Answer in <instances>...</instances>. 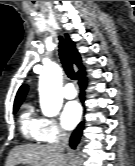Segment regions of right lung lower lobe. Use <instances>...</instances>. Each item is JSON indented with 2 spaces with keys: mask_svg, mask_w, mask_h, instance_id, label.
Masks as SVG:
<instances>
[{
  "mask_svg": "<svg viewBox=\"0 0 135 166\" xmlns=\"http://www.w3.org/2000/svg\"><path fill=\"white\" fill-rule=\"evenodd\" d=\"M77 76H78V80H79L78 84L80 86L79 98H80L81 102L83 103L85 100V89H86V85H87V82H86L87 78L85 76L84 69H81L80 71H78ZM83 128H84V122H81L77 126V128L73 131V133L70 137V145L72 148H75L76 145L78 144L82 131H83Z\"/></svg>",
  "mask_w": 135,
  "mask_h": 166,
  "instance_id": "98d812e1",
  "label": "right lung lower lobe"
}]
</instances>
